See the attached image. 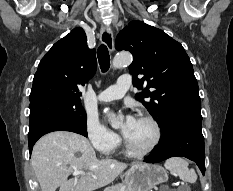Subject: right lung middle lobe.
Listing matches in <instances>:
<instances>
[{
    "instance_id": "dd1d6c3e",
    "label": "right lung middle lobe",
    "mask_w": 233,
    "mask_h": 191,
    "mask_svg": "<svg viewBox=\"0 0 233 191\" xmlns=\"http://www.w3.org/2000/svg\"><path fill=\"white\" fill-rule=\"evenodd\" d=\"M30 128L42 121H63L87 130L81 101L48 94L30 99Z\"/></svg>"
}]
</instances>
